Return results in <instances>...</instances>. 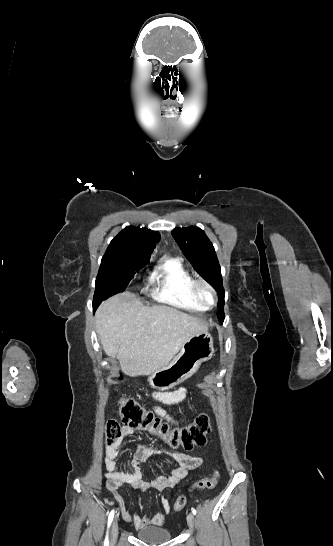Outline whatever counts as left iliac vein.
Masks as SVG:
<instances>
[{
	"label": "left iliac vein",
	"mask_w": 333,
	"mask_h": 546,
	"mask_svg": "<svg viewBox=\"0 0 333 546\" xmlns=\"http://www.w3.org/2000/svg\"><path fill=\"white\" fill-rule=\"evenodd\" d=\"M187 523L190 528H193L194 526V515L192 513H189L187 515Z\"/></svg>",
	"instance_id": "left-iliac-vein-1"
}]
</instances>
